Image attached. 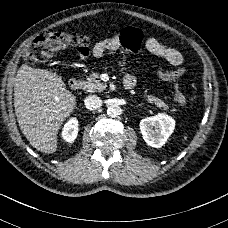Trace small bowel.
<instances>
[{"mask_svg": "<svg viewBox=\"0 0 228 228\" xmlns=\"http://www.w3.org/2000/svg\"><path fill=\"white\" fill-rule=\"evenodd\" d=\"M139 31L134 27H126L121 31L120 35L105 38L97 42L91 53L95 58H100L105 52L117 51L122 44L133 52H139L145 47L150 54L164 58L173 66H179L183 63V55L179 50L162 44L154 37H148L145 40ZM89 53L80 54V57L85 59L88 57ZM181 71L184 72L183 69L159 70L157 71V75L164 81H173L183 74ZM127 78H131L135 81L132 75H126L125 79Z\"/></svg>", "mask_w": 228, "mask_h": 228, "instance_id": "c3829d8e", "label": "small bowel"}]
</instances>
